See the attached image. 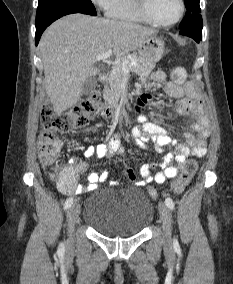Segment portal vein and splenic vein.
<instances>
[{
	"instance_id": "portal-vein-and-splenic-vein-1",
	"label": "portal vein and splenic vein",
	"mask_w": 233,
	"mask_h": 284,
	"mask_svg": "<svg viewBox=\"0 0 233 284\" xmlns=\"http://www.w3.org/2000/svg\"><path fill=\"white\" fill-rule=\"evenodd\" d=\"M111 55H112V49H108L106 52L96 56L95 61H101V60L108 59ZM130 64L131 65H137V63L135 61H132ZM122 66H123V70L127 71L128 62L124 61Z\"/></svg>"
}]
</instances>
